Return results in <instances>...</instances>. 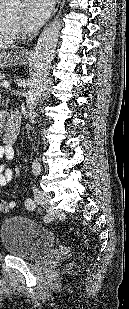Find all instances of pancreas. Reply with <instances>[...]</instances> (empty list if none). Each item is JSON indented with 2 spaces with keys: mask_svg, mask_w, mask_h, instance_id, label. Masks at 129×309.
<instances>
[{
  "mask_svg": "<svg viewBox=\"0 0 129 309\" xmlns=\"http://www.w3.org/2000/svg\"><path fill=\"white\" fill-rule=\"evenodd\" d=\"M4 78H5V75L0 73V85H1V83H2L1 81H3Z\"/></svg>",
  "mask_w": 129,
  "mask_h": 309,
  "instance_id": "obj_1",
  "label": "pancreas"
}]
</instances>
